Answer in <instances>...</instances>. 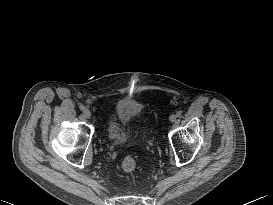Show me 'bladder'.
<instances>
[{
  "mask_svg": "<svg viewBox=\"0 0 273 205\" xmlns=\"http://www.w3.org/2000/svg\"><path fill=\"white\" fill-rule=\"evenodd\" d=\"M132 121L145 122L142 104L130 98L116 102L106 127L107 138L112 145L124 146L137 136L141 128L130 127Z\"/></svg>",
  "mask_w": 273,
  "mask_h": 205,
  "instance_id": "bladder-1",
  "label": "bladder"
}]
</instances>
